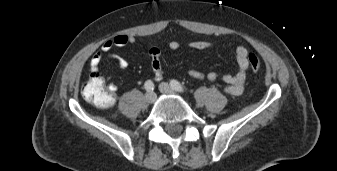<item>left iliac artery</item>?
Listing matches in <instances>:
<instances>
[{
	"label": "left iliac artery",
	"instance_id": "44dca946",
	"mask_svg": "<svg viewBox=\"0 0 337 171\" xmlns=\"http://www.w3.org/2000/svg\"><path fill=\"white\" fill-rule=\"evenodd\" d=\"M170 85L175 91L185 92L183 86L177 80H171Z\"/></svg>",
	"mask_w": 337,
	"mask_h": 171
}]
</instances>
